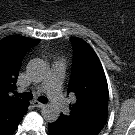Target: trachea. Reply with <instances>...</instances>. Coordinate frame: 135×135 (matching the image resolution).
Returning a JSON list of instances; mask_svg holds the SVG:
<instances>
[{"mask_svg": "<svg viewBox=\"0 0 135 135\" xmlns=\"http://www.w3.org/2000/svg\"><path fill=\"white\" fill-rule=\"evenodd\" d=\"M15 96H18V97L25 99V100H31L33 98V95L29 92H25V93L15 92ZM38 101L41 103H46V102H48V99L44 96H41L38 98Z\"/></svg>", "mask_w": 135, "mask_h": 135, "instance_id": "1", "label": "trachea"}]
</instances>
